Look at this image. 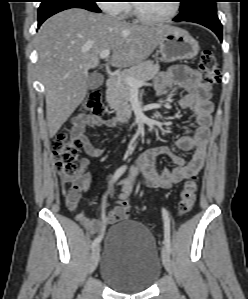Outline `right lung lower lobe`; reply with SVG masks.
<instances>
[{
	"label": "right lung lower lobe",
	"mask_w": 248,
	"mask_h": 299,
	"mask_svg": "<svg viewBox=\"0 0 248 299\" xmlns=\"http://www.w3.org/2000/svg\"><path fill=\"white\" fill-rule=\"evenodd\" d=\"M65 9H69V8H62V9L56 10V11H54V12H51V13L47 14L46 16L42 17V18H39V19H38V27H40V25H41L47 18H49L50 16H52V15H54V14L60 12V11L65 10Z\"/></svg>",
	"instance_id": "right-lung-lower-lobe-1"
}]
</instances>
